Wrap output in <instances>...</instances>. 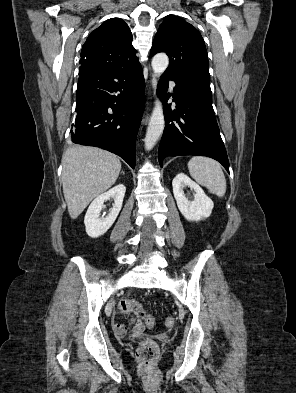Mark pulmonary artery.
<instances>
[{
	"label": "pulmonary artery",
	"mask_w": 296,
	"mask_h": 393,
	"mask_svg": "<svg viewBox=\"0 0 296 393\" xmlns=\"http://www.w3.org/2000/svg\"><path fill=\"white\" fill-rule=\"evenodd\" d=\"M169 85H170L171 90L173 91L174 86H175V82L171 80V81L169 82Z\"/></svg>",
	"instance_id": "obj_1"
}]
</instances>
